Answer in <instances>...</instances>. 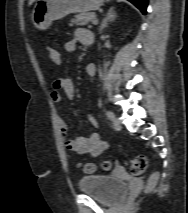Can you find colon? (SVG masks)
I'll list each match as a JSON object with an SVG mask.
<instances>
[{"mask_svg": "<svg viewBox=\"0 0 188 213\" xmlns=\"http://www.w3.org/2000/svg\"><path fill=\"white\" fill-rule=\"evenodd\" d=\"M48 55L50 59L56 60L59 58V52L51 47L47 48ZM127 166L129 167L130 171L134 175H140L142 174L147 166V158L143 155L137 156L135 158L130 159L128 162H126ZM112 164L110 162H104L101 167L104 170H109L111 168ZM83 170L87 173H94L97 170V165L93 163H86L82 166ZM157 174H153V178L156 179Z\"/></svg>", "mask_w": 188, "mask_h": 213, "instance_id": "colon-1", "label": "colon"}]
</instances>
